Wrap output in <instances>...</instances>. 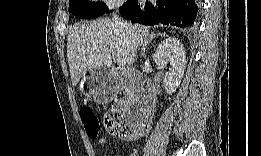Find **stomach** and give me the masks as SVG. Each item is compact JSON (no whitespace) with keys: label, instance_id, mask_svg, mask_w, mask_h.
I'll list each match as a JSON object with an SVG mask.
<instances>
[{"label":"stomach","instance_id":"stomach-1","mask_svg":"<svg viewBox=\"0 0 261 156\" xmlns=\"http://www.w3.org/2000/svg\"><path fill=\"white\" fill-rule=\"evenodd\" d=\"M81 92L87 97L101 99L113 90L112 76L108 68H95L86 72L80 83Z\"/></svg>","mask_w":261,"mask_h":156}]
</instances>
